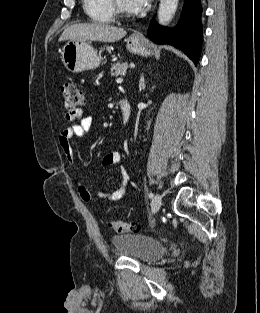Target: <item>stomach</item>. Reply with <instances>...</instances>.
I'll use <instances>...</instances> for the list:
<instances>
[{"label": "stomach", "mask_w": 260, "mask_h": 313, "mask_svg": "<svg viewBox=\"0 0 260 313\" xmlns=\"http://www.w3.org/2000/svg\"><path fill=\"white\" fill-rule=\"evenodd\" d=\"M127 49L146 57L154 53L152 45L137 35L127 39ZM61 58L66 69L72 73L96 69L101 63L97 51L86 41H68L62 48Z\"/></svg>", "instance_id": "obj_1"}]
</instances>
